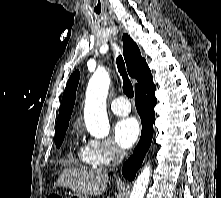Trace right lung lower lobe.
I'll return each instance as SVG.
<instances>
[{"label":"right lung lower lobe","mask_w":221,"mask_h":198,"mask_svg":"<svg viewBox=\"0 0 221 198\" xmlns=\"http://www.w3.org/2000/svg\"><path fill=\"white\" fill-rule=\"evenodd\" d=\"M154 93L155 84L153 83V78L144 86L135 90V105L141 118L142 132L140 141L133 155L126 161L122 168L123 176L130 181L134 180L136 172L140 168L152 141L153 123L155 119L154 107L157 103Z\"/></svg>","instance_id":"obj_1"}]
</instances>
